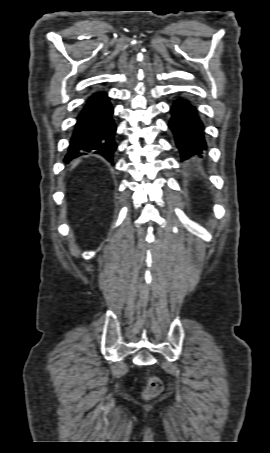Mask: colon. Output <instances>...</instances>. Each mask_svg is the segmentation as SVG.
<instances>
[{
  "label": "colon",
  "mask_w": 270,
  "mask_h": 453,
  "mask_svg": "<svg viewBox=\"0 0 270 453\" xmlns=\"http://www.w3.org/2000/svg\"><path fill=\"white\" fill-rule=\"evenodd\" d=\"M162 389H163L162 381L157 377H150L148 378L144 395L146 398H153L159 395Z\"/></svg>",
  "instance_id": "5ec220e1"
}]
</instances>
